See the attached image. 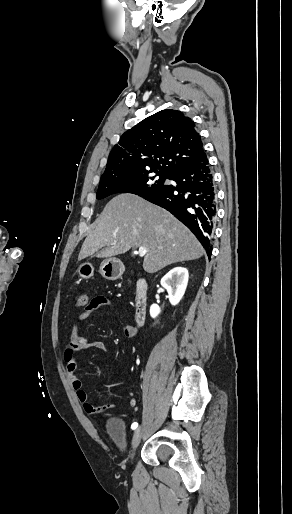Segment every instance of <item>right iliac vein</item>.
Returning <instances> with one entry per match:
<instances>
[{
  "label": "right iliac vein",
  "mask_w": 292,
  "mask_h": 514,
  "mask_svg": "<svg viewBox=\"0 0 292 514\" xmlns=\"http://www.w3.org/2000/svg\"><path fill=\"white\" fill-rule=\"evenodd\" d=\"M144 425L140 426L134 433L133 435V439H132V449H131V454H130V458L133 459L134 457V454H135V450L136 448L138 447L140 441H141V438H142V434H143V430H144Z\"/></svg>",
  "instance_id": "63e3f726"
}]
</instances>
